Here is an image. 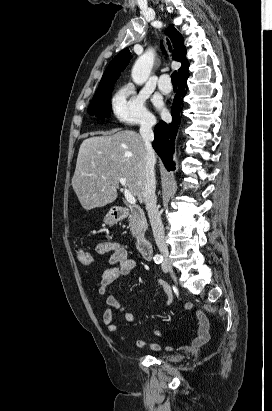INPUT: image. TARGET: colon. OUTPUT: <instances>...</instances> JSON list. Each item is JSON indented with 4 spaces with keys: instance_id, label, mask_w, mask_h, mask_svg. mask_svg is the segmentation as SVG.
<instances>
[{
    "instance_id": "obj_1",
    "label": "colon",
    "mask_w": 272,
    "mask_h": 411,
    "mask_svg": "<svg viewBox=\"0 0 272 411\" xmlns=\"http://www.w3.org/2000/svg\"><path fill=\"white\" fill-rule=\"evenodd\" d=\"M76 259L83 265H91L93 262L91 254L84 248L76 249Z\"/></svg>"
}]
</instances>
